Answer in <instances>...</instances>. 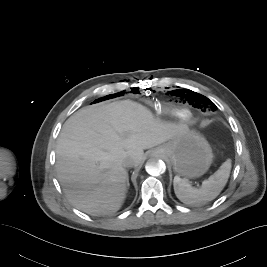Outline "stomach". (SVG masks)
Listing matches in <instances>:
<instances>
[{"mask_svg":"<svg viewBox=\"0 0 267 267\" xmlns=\"http://www.w3.org/2000/svg\"><path fill=\"white\" fill-rule=\"evenodd\" d=\"M151 156L169 160L178 175L189 179L205 174L213 161L208 141L199 133L189 129L154 149Z\"/></svg>","mask_w":267,"mask_h":267,"instance_id":"1","label":"stomach"}]
</instances>
